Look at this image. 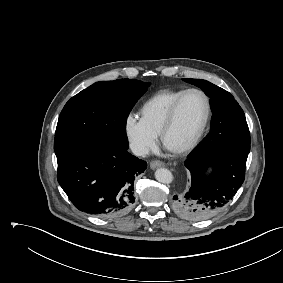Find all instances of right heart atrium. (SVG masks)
Wrapping results in <instances>:
<instances>
[{"label":"right heart atrium","instance_id":"d8ad5b80","mask_svg":"<svg viewBox=\"0 0 283 283\" xmlns=\"http://www.w3.org/2000/svg\"><path fill=\"white\" fill-rule=\"evenodd\" d=\"M124 131L129 146L136 155H145L156 144L157 136L144 125L140 118L133 114L126 117Z\"/></svg>","mask_w":283,"mask_h":283}]
</instances>
